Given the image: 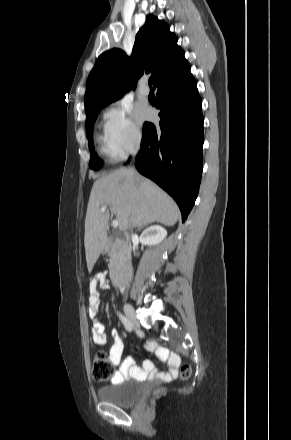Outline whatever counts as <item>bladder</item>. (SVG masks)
I'll return each mask as SVG.
<instances>
[{
  "label": "bladder",
  "mask_w": 291,
  "mask_h": 440,
  "mask_svg": "<svg viewBox=\"0 0 291 440\" xmlns=\"http://www.w3.org/2000/svg\"><path fill=\"white\" fill-rule=\"evenodd\" d=\"M141 382L123 380L97 390L98 398L103 402L115 404L120 407L134 405L142 395Z\"/></svg>",
  "instance_id": "obj_1"
}]
</instances>
